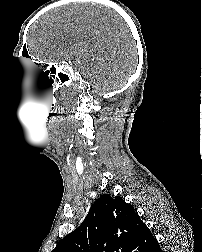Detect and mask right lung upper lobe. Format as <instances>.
I'll return each mask as SVG.
<instances>
[{"instance_id": "cb5924a9", "label": "right lung upper lobe", "mask_w": 202, "mask_h": 252, "mask_svg": "<svg viewBox=\"0 0 202 252\" xmlns=\"http://www.w3.org/2000/svg\"><path fill=\"white\" fill-rule=\"evenodd\" d=\"M157 244L133 206L121 197L103 195L52 252H152Z\"/></svg>"}]
</instances>
